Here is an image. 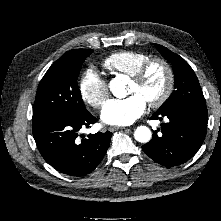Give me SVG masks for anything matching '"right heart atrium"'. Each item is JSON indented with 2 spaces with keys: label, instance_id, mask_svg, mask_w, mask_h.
<instances>
[{
  "label": "right heart atrium",
  "instance_id": "obj_1",
  "mask_svg": "<svg viewBox=\"0 0 221 221\" xmlns=\"http://www.w3.org/2000/svg\"><path fill=\"white\" fill-rule=\"evenodd\" d=\"M79 91L84 102L96 109L103 105L109 94L106 80L92 68L82 74Z\"/></svg>",
  "mask_w": 221,
  "mask_h": 221
}]
</instances>
